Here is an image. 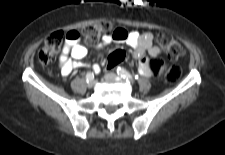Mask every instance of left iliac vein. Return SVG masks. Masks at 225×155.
I'll list each match as a JSON object with an SVG mask.
<instances>
[{
	"instance_id": "1",
	"label": "left iliac vein",
	"mask_w": 225,
	"mask_h": 155,
	"mask_svg": "<svg viewBox=\"0 0 225 155\" xmlns=\"http://www.w3.org/2000/svg\"><path fill=\"white\" fill-rule=\"evenodd\" d=\"M105 78L106 79H116V78H118V76L115 73H107L105 75Z\"/></svg>"
}]
</instances>
